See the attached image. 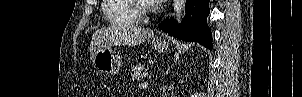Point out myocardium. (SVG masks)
I'll return each instance as SVG.
<instances>
[{"label":"myocardium","mask_w":302,"mask_h":97,"mask_svg":"<svg viewBox=\"0 0 302 97\" xmlns=\"http://www.w3.org/2000/svg\"><path fill=\"white\" fill-rule=\"evenodd\" d=\"M131 8L135 15L141 19L145 18L155 10V7L152 4H149L144 0H132Z\"/></svg>","instance_id":"obj_1"}]
</instances>
